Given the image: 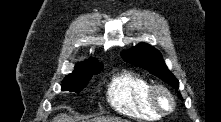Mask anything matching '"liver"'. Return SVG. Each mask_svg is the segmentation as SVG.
Returning a JSON list of instances; mask_svg holds the SVG:
<instances>
[{
    "label": "liver",
    "instance_id": "liver-1",
    "mask_svg": "<svg viewBox=\"0 0 221 122\" xmlns=\"http://www.w3.org/2000/svg\"><path fill=\"white\" fill-rule=\"evenodd\" d=\"M52 122H73V119L66 114H61V115H57L56 117H54ZM93 122H127V121L124 119H120V118L100 117V118H95Z\"/></svg>",
    "mask_w": 221,
    "mask_h": 122
}]
</instances>
